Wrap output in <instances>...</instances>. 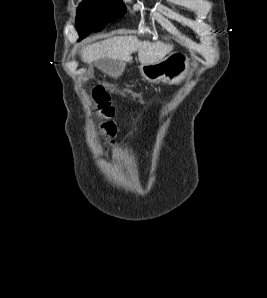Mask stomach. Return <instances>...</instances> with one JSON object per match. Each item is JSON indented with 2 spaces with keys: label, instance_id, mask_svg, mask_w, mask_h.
<instances>
[{
  "label": "stomach",
  "instance_id": "stomach-1",
  "mask_svg": "<svg viewBox=\"0 0 267 298\" xmlns=\"http://www.w3.org/2000/svg\"><path fill=\"white\" fill-rule=\"evenodd\" d=\"M189 58L181 53H174L155 64H142L140 72L142 76L152 82H167L179 84L187 76L189 71Z\"/></svg>",
  "mask_w": 267,
  "mask_h": 298
}]
</instances>
